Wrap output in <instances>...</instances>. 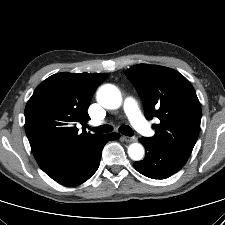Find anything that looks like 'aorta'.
<instances>
[{
  "label": "aorta",
  "mask_w": 225,
  "mask_h": 225,
  "mask_svg": "<svg viewBox=\"0 0 225 225\" xmlns=\"http://www.w3.org/2000/svg\"><path fill=\"white\" fill-rule=\"evenodd\" d=\"M98 103L106 109H117L121 106L122 96L119 89L112 84H105L97 91ZM144 147L140 143H132L128 147V155L134 161H140L144 157Z\"/></svg>",
  "instance_id": "aorta-1"
}]
</instances>
